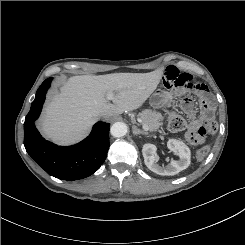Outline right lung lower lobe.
Instances as JSON below:
<instances>
[{"label": "right lung lower lobe", "instance_id": "98d812e1", "mask_svg": "<svg viewBox=\"0 0 245 245\" xmlns=\"http://www.w3.org/2000/svg\"><path fill=\"white\" fill-rule=\"evenodd\" d=\"M52 78L46 79L36 92V98L24 122V146L32 159L49 175L73 181L90 176L104 162L109 149L110 124L98 122L91 134L73 146H57L46 141L35 127Z\"/></svg>", "mask_w": 245, "mask_h": 245}]
</instances>
